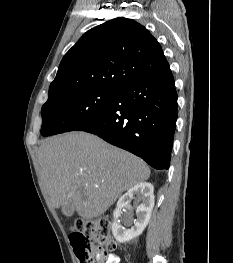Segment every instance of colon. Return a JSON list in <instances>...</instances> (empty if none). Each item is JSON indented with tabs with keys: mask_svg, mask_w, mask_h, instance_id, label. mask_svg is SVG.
Segmentation results:
<instances>
[{
	"mask_svg": "<svg viewBox=\"0 0 233 263\" xmlns=\"http://www.w3.org/2000/svg\"><path fill=\"white\" fill-rule=\"evenodd\" d=\"M69 239L81 263H105L109 253L116 248L110 223L105 218L77 220Z\"/></svg>",
	"mask_w": 233,
	"mask_h": 263,
	"instance_id": "5ec220e1",
	"label": "colon"
}]
</instances>
